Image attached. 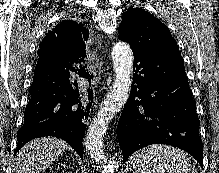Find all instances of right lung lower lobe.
<instances>
[{"mask_svg": "<svg viewBox=\"0 0 219 173\" xmlns=\"http://www.w3.org/2000/svg\"><path fill=\"white\" fill-rule=\"evenodd\" d=\"M80 62L84 59L37 62L15 153L32 139L53 136L66 140L83 159L82 141L93 97L89 87L93 75L85 67L75 69L71 65ZM70 71H77L85 79L82 84L70 81Z\"/></svg>", "mask_w": 219, "mask_h": 173, "instance_id": "right-lung-lower-lobe-1", "label": "right lung lower lobe"}]
</instances>
